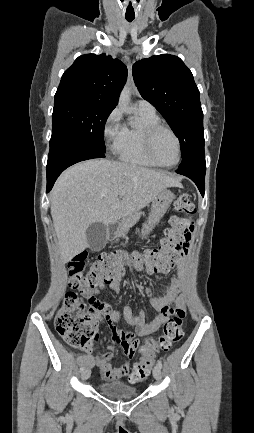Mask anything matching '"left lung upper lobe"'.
Masks as SVG:
<instances>
[{
  "label": "left lung upper lobe",
  "instance_id": "1",
  "mask_svg": "<svg viewBox=\"0 0 254 433\" xmlns=\"http://www.w3.org/2000/svg\"><path fill=\"white\" fill-rule=\"evenodd\" d=\"M132 74L142 97L161 113L179 138V168L206 169L203 112L191 71L179 57L162 54L137 61Z\"/></svg>",
  "mask_w": 254,
  "mask_h": 433
}]
</instances>
